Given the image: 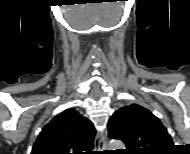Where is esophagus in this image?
I'll return each mask as SVG.
<instances>
[{
	"label": "esophagus",
	"mask_w": 190,
	"mask_h": 154,
	"mask_svg": "<svg viewBox=\"0 0 190 154\" xmlns=\"http://www.w3.org/2000/svg\"><path fill=\"white\" fill-rule=\"evenodd\" d=\"M106 143H107L106 133L105 132L97 133L94 141L95 150L100 153L105 152Z\"/></svg>",
	"instance_id": "esophagus-1"
}]
</instances>
